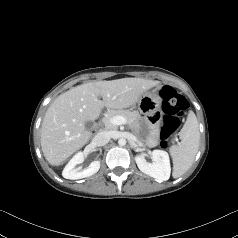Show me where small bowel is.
<instances>
[{"label":"small bowel","mask_w":238,"mask_h":238,"mask_svg":"<svg viewBox=\"0 0 238 238\" xmlns=\"http://www.w3.org/2000/svg\"><path fill=\"white\" fill-rule=\"evenodd\" d=\"M148 120L152 124L151 133L148 138V144L150 146H155L157 143V127L156 125L160 124L163 120V115L158 110H153L148 115Z\"/></svg>","instance_id":"small-bowel-1"}]
</instances>
